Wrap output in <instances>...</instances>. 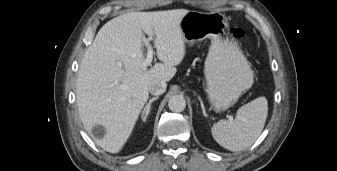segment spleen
Returning a JSON list of instances; mask_svg holds the SVG:
<instances>
[{"instance_id": "spleen-1", "label": "spleen", "mask_w": 337, "mask_h": 171, "mask_svg": "<svg viewBox=\"0 0 337 171\" xmlns=\"http://www.w3.org/2000/svg\"><path fill=\"white\" fill-rule=\"evenodd\" d=\"M268 115V102L265 97L243 105L233 121L220 120L211 128L216 142L230 150L241 151L250 147L260 136Z\"/></svg>"}]
</instances>
